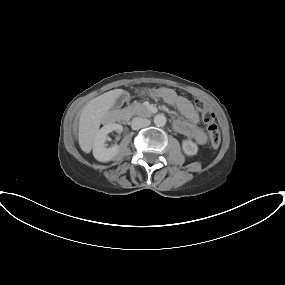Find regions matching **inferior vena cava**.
I'll use <instances>...</instances> for the list:
<instances>
[{
  "mask_svg": "<svg viewBox=\"0 0 285 285\" xmlns=\"http://www.w3.org/2000/svg\"><path fill=\"white\" fill-rule=\"evenodd\" d=\"M149 125H150V120L145 119V118H141V117H135L131 123V127L134 130H138L140 128L147 127Z\"/></svg>",
  "mask_w": 285,
  "mask_h": 285,
  "instance_id": "inferior-vena-cava-1",
  "label": "inferior vena cava"
}]
</instances>
